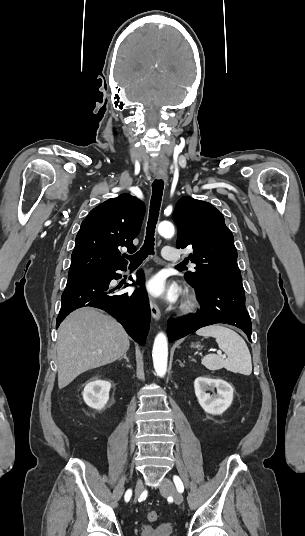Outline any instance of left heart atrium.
<instances>
[{
  "instance_id": "obj_1",
  "label": "left heart atrium",
  "mask_w": 305,
  "mask_h": 536,
  "mask_svg": "<svg viewBox=\"0 0 305 536\" xmlns=\"http://www.w3.org/2000/svg\"><path fill=\"white\" fill-rule=\"evenodd\" d=\"M147 291L153 296H161L165 292L163 280L159 276H155L147 283Z\"/></svg>"
}]
</instances>
